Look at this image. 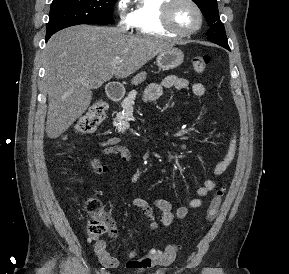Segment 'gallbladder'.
<instances>
[{
	"mask_svg": "<svg viewBox=\"0 0 289 274\" xmlns=\"http://www.w3.org/2000/svg\"><path fill=\"white\" fill-rule=\"evenodd\" d=\"M101 86H102V83H100V82H93L92 83V89H97Z\"/></svg>",
	"mask_w": 289,
	"mask_h": 274,
	"instance_id": "bac80fb5",
	"label": "gallbladder"
}]
</instances>
